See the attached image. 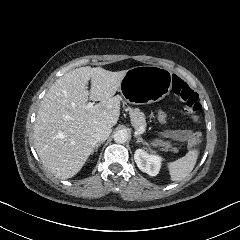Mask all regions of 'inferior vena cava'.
Listing matches in <instances>:
<instances>
[{
  "mask_svg": "<svg viewBox=\"0 0 240 240\" xmlns=\"http://www.w3.org/2000/svg\"><path fill=\"white\" fill-rule=\"evenodd\" d=\"M111 132H112V129L111 127H108V126L97 128L94 134L95 143L104 142L109 137Z\"/></svg>",
  "mask_w": 240,
  "mask_h": 240,
  "instance_id": "obj_1",
  "label": "inferior vena cava"
}]
</instances>
